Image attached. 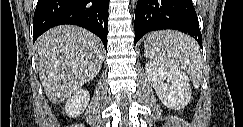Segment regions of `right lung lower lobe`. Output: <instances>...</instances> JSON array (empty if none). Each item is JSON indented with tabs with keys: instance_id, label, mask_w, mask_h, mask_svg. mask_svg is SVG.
<instances>
[{
	"instance_id": "right-lung-lower-lobe-1",
	"label": "right lung lower lobe",
	"mask_w": 243,
	"mask_h": 127,
	"mask_svg": "<svg viewBox=\"0 0 243 127\" xmlns=\"http://www.w3.org/2000/svg\"><path fill=\"white\" fill-rule=\"evenodd\" d=\"M108 8L109 0H38L33 43L54 26L73 24L99 36L107 49Z\"/></svg>"
}]
</instances>
